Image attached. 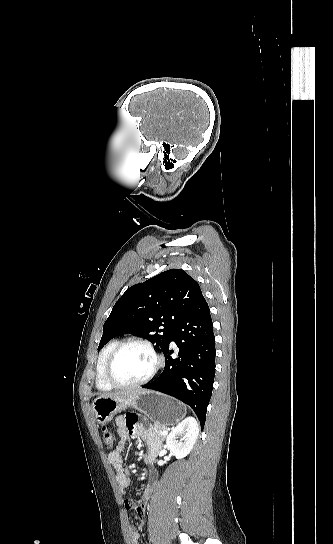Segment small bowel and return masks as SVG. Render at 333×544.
<instances>
[{
	"label": "small bowel",
	"instance_id": "c3829d8e",
	"mask_svg": "<svg viewBox=\"0 0 333 544\" xmlns=\"http://www.w3.org/2000/svg\"><path fill=\"white\" fill-rule=\"evenodd\" d=\"M116 424L118 427V436L116 441V447L108 455V460L111 466L116 472V480L120 489L125 490L130 485L129 471L124 467L122 453L125 448V444L129 436L138 437L143 435L144 441L148 446V452L145 456V461L151 463L156 457L159 450V443L156 438L147 431L144 426L140 423L137 417L131 416H119L116 419ZM157 479V472L151 470L149 473V484L145 488L142 497L135 504L131 499H125L124 505L127 510L135 507L138 518L140 521L145 519L146 505L148 503L150 494L152 492L153 485ZM129 535L132 544H138L139 542V532L134 528H129Z\"/></svg>",
	"mask_w": 333,
	"mask_h": 544
}]
</instances>
